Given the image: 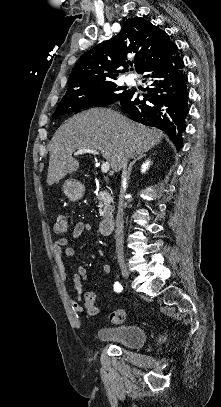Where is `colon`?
<instances>
[{"label":"colon","instance_id":"1","mask_svg":"<svg viewBox=\"0 0 221 407\" xmlns=\"http://www.w3.org/2000/svg\"><path fill=\"white\" fill-rule=\"evenodd\" d=\"M55 231L58 234H64L67 231V220L64 216H59L56 220L55 224ZM96 296L93 292H88L86 294L84 304L87 308L88 312L92 315H95L97 312V308L95 306ZM110 320L113 323L121 324L125 321L126 315L125 311L121 309L114 310L109 315Z\"/></svg>","mask_w":221,"mask_h":407}]
</instances>
